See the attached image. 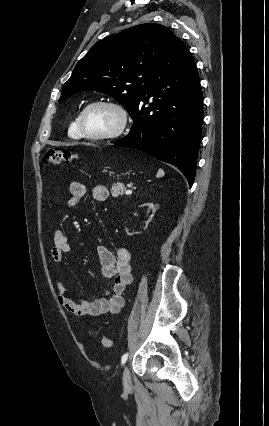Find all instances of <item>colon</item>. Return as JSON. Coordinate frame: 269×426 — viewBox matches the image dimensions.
Wrapping results in <instances>:
<instances>
[{
    "instance_id": "colon-1",
    "label": "colon",
    "mask_w": 269,
    "mask_h": 426,
    "mask_svg": "<svg viewBox=\"0 0 269 426\" xmlns=\"http://www.w3.org/2000/svg\"><path fill=\"white\" fill-rule=\"evenodd\" d=\"M76 160L77 156L68 149L50 148L43 155V163L51 166L71 164L76 162ZM98 341L104 348H111L113 346L112 339L106 336H100Z\"/></svg>"
}]
</instances>
